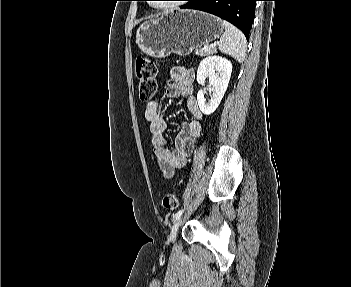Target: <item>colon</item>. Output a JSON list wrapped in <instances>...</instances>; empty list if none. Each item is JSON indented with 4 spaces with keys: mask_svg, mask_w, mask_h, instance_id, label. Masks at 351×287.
Masks as SVG:
<instances>
[{
    "mask_svg": "<svg viewBox=\"0 0 351 287\" xmlns=\"http://www.w3.org/2000/svg\"><path fill=\"white\" fill-rule=\"evenodd\" d=\"M135 71L138 78L139 97L146 102L151 100L157 90L155 63L146 56H138L135 60ZM162 205L164 209L174 211L179 206L178 198L173 193H168L163 197Z\"/></svg>",
    "mask_w": 351,
    "mask_h": 287,
    "instance_id": "5ec220e1",
    "label": "colon"
}]
</instances>
